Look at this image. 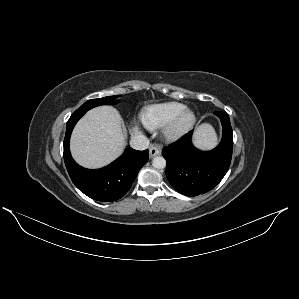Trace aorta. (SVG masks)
<instances>
[{"instance_id":"762f6f07","label":"aorta","mask_w":299,"mask_h":299,"mask_svg":"<svg viewBox=\"0 0 299 299\" xmlns=\"http://www.w3.org/2000/svg\"><path fill=\"white\" fill-rule=\"evenodd\" d=\"M152 165L156 169H163L166 167V160L162 156H157L152 160Z\"/></svg>"}]
</instances>
